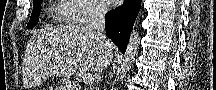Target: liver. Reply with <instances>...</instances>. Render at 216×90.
Here are the masks:
<instances>
[{
	"label": "liver",
	"mask_w": 216,
	"mask_h": 90,
	"mask_svg": "<svg viewBox=\"0 0 216 90\" xmlns=\"http://www.w3.org/2000/svg\"><path fill=\"white\" fill-rule=\"evenodd\" d=\"M36 44V50L33 48ZM111 52L115 50L111 40ZM27 54H38L39 66L46 76H72L79 72H98L105 64L99 36L87 26L73 22L64 28H45L31 42Z\"/></svg>",
	"instance_id": "1"
}]
</instances>
